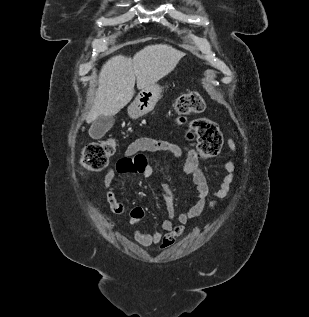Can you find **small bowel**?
Returning a JSON list of instances; mask_svg holds the SVG:
<instances>
[{
    "instance_id": "1",
    "label": "small bowel",
    "mask_w": 309,
    "mask_h": 317,
    "mask_svg": "<svg viewBox=\"0 0 309 317\" xmlns=\"http://www.w3.org/2000/svg\"><path fill=\"white\" fill-rule=\"evenodd\" d=\"M180 121H183V119H180ZM193 137L194 135L191 132L187 134L188 140H192ZM228 146L233 152H236L237 147L233 139L228 141ZM159 151L168 152L175 159H180L183 154L186 155L184 171L192 177L197 191L192 206L178 215V223L176 224L173 221L174 193L167 183H160V190L166 201V217L161 223L163 232L148 233L141 228V220L144 217V209L142 207H134L130 211L129 223L135 240L147 248L158 246L160 250H166L173 246L176 240L184 233L185 225L191 219L201 215L207 204L214 209L218 205V200L224 199L229 195L234 181L236 165L231 160H225L222 164L225 175L222 177L218 188L210 191L206 176L198 167V154L194 148L189 146L181 147L163 139L147 136L140 137L127 146L124 156L117 162L116 170L109 169L104 177L105 195L113 213L123 214L125 212L124 205L116 197V172L120 174H140L145 178H151L155 170L149 163L145 153ZM208 196L212 199L207 203Z\"/></svg>"
}]
</instances>
